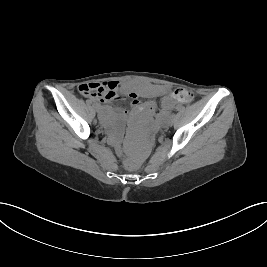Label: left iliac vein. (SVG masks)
Returning a JSON list of instances; mask_svg holds the SVG:
<instances>
[{"mask_svg": "<svg viewBox=\"0 0 267 267\" xmlns=\"http://www.w3.org/2000/svg\"><path fill=\"white\" fill-rule=\"evenodd\" d=\"M171 125V122L168 120L165 122V126H170Z\"/></svg>", "mask_w": 267, "mask_h": 267, "instance_id": "left-iliac-vein-1", "label": "left iliac vein"}]
</instances>
